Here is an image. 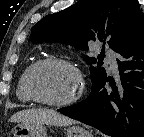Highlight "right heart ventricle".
I'll list each match as a JSON object with an SVG mask.
<instances>
[{"label": "right heart ventricle", "mask_w": 144, "mask_h": 137, "mask_svg": "<svg viewBox=\"0 0 144 137\" xmlns=\"http://www.w3.org/2000/svg\"><path fill=\"white\" fill-rule=\"evenodd\" d=\"M32 65L28 66L25 69V71L20 76L19 81H18V85H17V90H16L17 98L19 101L24 102V103H29V102L33 101L30 98V96L28 95L26 88H25L26 77H27L28 71Z\"/></svg>", "instance_id": "right-heart-ventricle-1"}]
</instances>
